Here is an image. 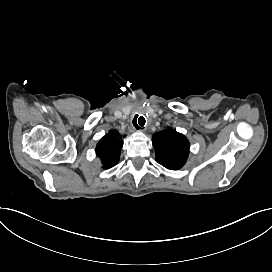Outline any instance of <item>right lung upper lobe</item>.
I'll list each match as a JSON object with an SVG mask.
<instances>
[{"label": "right lung upper lobe", "mask_w": 272, "mask_h": 272, "mask_svg": "<svg viewBox=\"0 0 272 272\" xmlns=\"http://www.w3.org/2000/svg\"><path fill=\"white\" fill-rule=\"evenodd\" d=\"M122 136L116 130H110L96 146V153L101 159L103 168H111L119 162L123 145Z\"/></svg>", "instance_id": "right-lung-upper-lobe-1"}]
</instances>
